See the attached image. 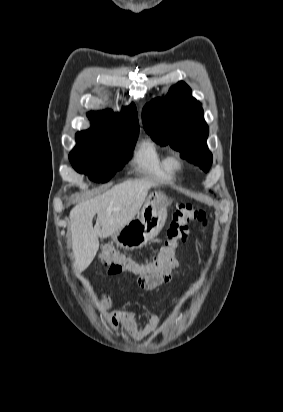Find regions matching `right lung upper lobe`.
<instances>
[{"mask_svg":"<svg viewBox=\"0 0 283 412\" xmlns=\"http://www.w3.org/2000/svg\"><path fill=\"white\" fill-rule=\"evenodd\" d=\"M88 117L91 120L92 127L89 130L78 132L79 134L112 138L138 134L139 132L137 111L134 104L122 108L121 113L105 110L90 112Z\"/></svg>","mask_w":283,"mask_h":412,"instance_id":"right-lung-upper-lobe-1","label":"right lung upper lobe"}]
</instances>
